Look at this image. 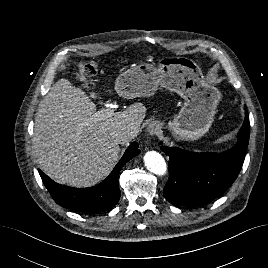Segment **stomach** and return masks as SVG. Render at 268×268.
Listing matches in <instances>:
<instances>
[{"label": "stomach", "mask_w": 268, "mask_h": 268, "mask_svg": "<svg viewBox=\"0 0 268 268\" xmlns=\"http://www.w3.org/2000/svg\"><path fill=\"white\" fill-rule=\"evenodd\" d=\"M177 93L185 100L168 127L177 140L201 138L214 121L220 93L210 85L200 66L186 57H166L157 67L141 63L122 72L115 90L124 98L149 97L158 87Z\"/></svg>", "instance_id": "stomach-1"}]
</instances>
